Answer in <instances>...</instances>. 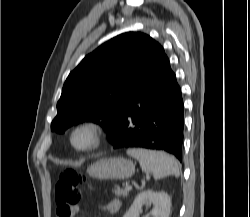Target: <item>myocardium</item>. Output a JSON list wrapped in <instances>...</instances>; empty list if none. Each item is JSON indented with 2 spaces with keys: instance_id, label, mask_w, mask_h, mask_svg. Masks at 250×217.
<instances>
[{
  "instance_id": "myocardium-1",
  "label": "myocardium",
  "mask_w": 250,
  "mask_h": 217,
  "mask_svg": "<svg viewBox=\"0 0 250 217\" xmlns=\"http://www.w3.org/2000/svg\"><path fill=\"white\" fill-rule=\"evenodd\" d=\"M80 134H84L87 137V141L83 145L76 143V137ZM102 139V128L99 124L92 121L80 122L73 127L70 132L69 141L71 146L78 152H89L96 149Z\"/></svg>"
}]
</instances>
